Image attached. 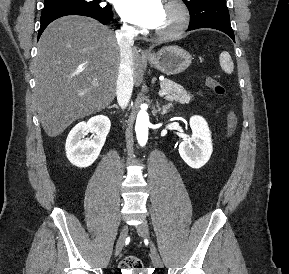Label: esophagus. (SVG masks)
Instances as JSON below:
<instances>
[{"label":"esophagus","mask_w":289,"mask_h":274,"mask_svg":"<svg viewBox=\"0 0 289 274\" xmlns=\"http://www.w3.org/2000/svg\"><path fill=\"white\" fill-rule=\"evenodd\" d=\"M145 54H147V55H148V54H149V52H148V51H145Z\"/></svg>","instance_id":"34e87169"}]
</instances>
